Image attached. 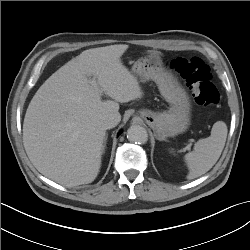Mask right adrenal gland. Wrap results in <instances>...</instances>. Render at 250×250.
Segmentation results:
<instances>
[{"instance_id":"right-adrenal-gland-1","label":"right adrenal gland","mask_w":250,"mask_h":250,"mask_svg":"<svg viewBox=\"0 0 250 250\" xmlns=\"http://www.w3.org/2000/svg\"><path fill=\"white\" fill-rule=\"evenodd\" d=\"M106 139H107V137L105 138L104 147L106 146Z\"/></svg>"}]
</instances>
